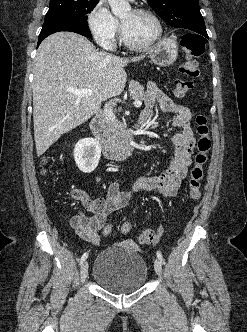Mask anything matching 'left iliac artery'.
<instances>
[{
	"mask_svg": "<svg viewBox=\"0 0 247 332\" xmlns=\"http://www.w3.org/2000/svg\"><path fill=\"white\" fill-rule=\"evenodd\" d=\"M157 257L159 258V260L161 261L162 264H164V259H163V256L161 254L160 251H157Z\"/></svg>",
	"mask_w": 247,
	"mask_h": 332,
	"instance_id": "obj_1",
	"label": "left iliac artery"
}]
</instances>
